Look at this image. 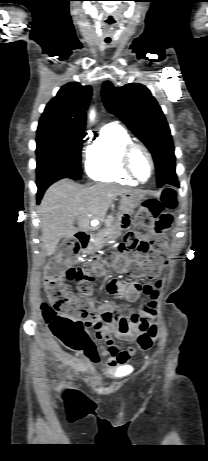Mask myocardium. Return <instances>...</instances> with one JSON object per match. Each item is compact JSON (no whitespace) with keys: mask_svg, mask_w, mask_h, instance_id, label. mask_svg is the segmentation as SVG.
I'll return each instance as SVG.
<instances>
[{"mask_svg":"<svg viewBox=\"0 0 208 461\" xmlns=\"http://www.w3.org/2000/svg\"><path fill=\"white\" fill-rule=\"evenodd\" d=\"M137 151L143 152L148 158L149 163H150V174L146 179L139 178L138 175L135 173L133 166H132V158L135 152ZM121 162H122V167L125 170V172L139 183L148 182L152 178L155 172V162H154V158L150 150L147 148V146L139 142L132 141L124 147L122 151V155H121Z\"/></svg>","mask_w":208,"mask_h":461,"instance_id":"myocardium-1","label":"myocardium"}]
</instances>
